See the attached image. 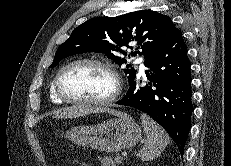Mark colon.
<instances>
[{"instance_id":"colon-1","label":"colon","mask_w":231,"mask_h":166,"mask_svg":"<svg viewBox=\"0 0 231 166\" xmlns=\"http://www.w3.org/2000/svg\"><path fill=\"white\" fill-rule=\"evenodd\" d=\"M73 166H89V165L85 162H80V161L75 160L73 162Z\"/></svg>"}]
</instances>
